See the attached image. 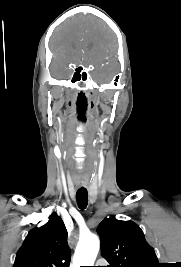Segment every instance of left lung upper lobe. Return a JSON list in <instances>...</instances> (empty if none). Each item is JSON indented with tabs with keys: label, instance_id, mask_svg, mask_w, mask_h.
<instances>
[{
	"label": "left lung upper lobe",
	"instance_id": "1",
	"mask_svg": "<svg viewBox=\"0 0 181 267\" xmlns=\"http://www.w3.org/2000/svg\"><path fill=\"white\" fill-rule=\"evenodd\" d=\"M97 232L108 267H160L154 249L134 222L110 217L99 224Z\"/></svg>",
	"mask_w": 181,
	"mask_h": 267
}]
</instances>
